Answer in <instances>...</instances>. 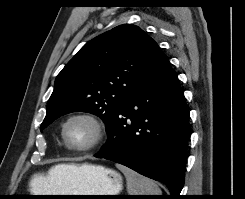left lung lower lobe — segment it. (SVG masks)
<instances>
[{
	"instance_id": "left-lung-lower-lobe-1",
	"label": "left lung lower lobe",
	"mask_w": 245,
	"mask_h": 199,
	"mask_svg": "<svg viewBox=\"0 0 245 199\" xmlns=\"http://www.w3.org/2000/svg\"><path fill=\"white\" fill-rule=\"evenodd\" d=\"M106 131L108 140L95 157L160 181L169 188L170 199H180L191 129L183 90L165 54L121 103Z\"/></svg>"
}]
</instances>
